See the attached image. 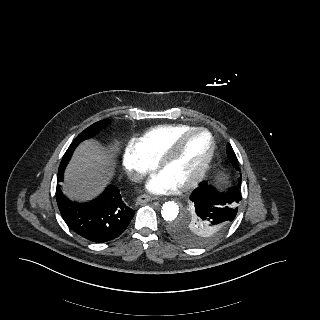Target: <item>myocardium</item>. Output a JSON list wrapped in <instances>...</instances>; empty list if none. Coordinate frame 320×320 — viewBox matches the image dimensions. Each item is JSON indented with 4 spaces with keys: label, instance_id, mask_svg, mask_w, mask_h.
<instances>
[{
    "label": "myocardium",
    "instance_id": "1",
    "mask_svg": "<svg viewBox=\"0 0 320 320\" xmlns=\"http://www.w3.org/2000/svg\"><path fill=\"white\" fill-rule=\"evenodd\" d=\"M198 134H204L208 137V140H209L208 152L203 162L201 163L200 167L195 172V174L177 186L178 189L180 190H187L196 186L206 175L211 165V162L215 153V148H216L215 141L212 134L205 128L193 127L192 129H189L186 132L180 134L172 142V144L168 147V149L162 154V156L158 159V168L159 170L162 171L172 160H174L177 157V155L180 153L181 149L183 148L185 142L189 138Z\"/></svg>",
    "mask_w": 320,
    "mask_h": 320
}]
</instances>
